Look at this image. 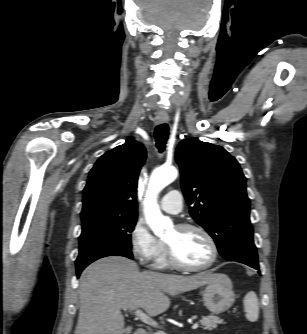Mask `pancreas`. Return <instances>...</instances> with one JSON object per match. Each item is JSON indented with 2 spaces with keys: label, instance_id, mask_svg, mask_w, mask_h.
Wrapping results in <instances>:
<instances>
[{
  "label": "pancreas",
  "instance_id": "obj_1",
  "mask_svg": "<svg viewBox=\"0 0 307 334\" xmlns=\"http://www.w3.org/2000/svg\"><path fill=\"white\" fill-rule=\"evenodd\" d=\"M200 323L205 330H212L214 328H217L219 324H224V320L221 319L220 317L214 316V315H209L206 317H203L200 320ZM153 334H164L161 331L154 332Z\"/></svg>",
  "mask_w": 307,
  "mask_h": 334
}]
</instances>
